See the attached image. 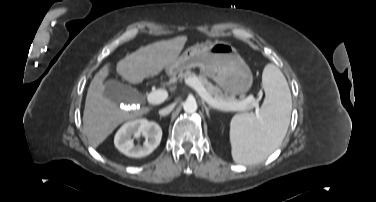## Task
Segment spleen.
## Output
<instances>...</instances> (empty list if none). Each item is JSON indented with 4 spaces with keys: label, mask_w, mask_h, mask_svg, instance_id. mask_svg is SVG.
<instances>
[{
    "label": "spleen",
    "mask_w": 376,
    "mask_h": 202,
    "mask_svg": "<svg viewBox=\"0 0 376 202\" xmlns=\"http://www.w3.org/2000/svg\"><path fill=\"white\" fill-rule=\"evenodd\" d=\"M265 100L258 116L237 114L230 122L232 157L236 163L253 164L278 148L290 123L291 93L284 74L274 64L262 73Z\"/></svg>",
    "instance_id": "obj_1"
}]
</instances>
